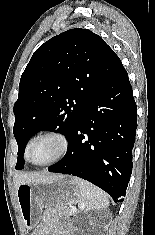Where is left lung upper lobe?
I'll list each match as a JSON object with an SVG mask.
<instances>
[{
  "mask_svg": "<svg viewBox=\"0 0 155 235\" xmlns=\"http://www.w3.org/2000/svg\"><path fill=\"white\" fill-rule=\"evenodd\" d=\"M119 60L100 36L82 28L55 36L34 52L21 76L13 109L16 169L24 168V148L37 132L51 130L70 139Z\"/></svg>",
  "mask_w": 155,
  "mask_h": 235,
  "instance_id": "5c2ea615",
  "label": "left lung upper lobe"
}]
</instances>
